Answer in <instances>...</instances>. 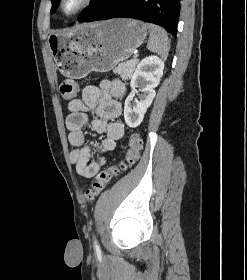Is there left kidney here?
Instances as JSON below:
<instances>
[{
	"mask_svg": "<svg viewBox=\"0 0 247 280\" xmlns=\"http://www.w3.org/2000/svg\"><path fill=\"white\" fill-rule=\"evenodd\" d=\"M164 61L155 55L145 57L137 65L131 79V93L124 105V119L126 124L135 128L141 124L144 115L151 105L163 75ZM136 88H139L137 90ZM141 92L140 95L138 93ZM138 95V98H133Z\"/></svg>",
	"mask_w": 247,
	"mask_h": 280,
	"instance_id": "5707ae66",
	"label": "left kidney"
}]
</instances>
